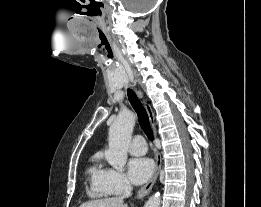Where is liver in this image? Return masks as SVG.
<instances>
[{
    "instance_id": "1",
    "label": "liver",
    "mask_w": 261,
    "mask_h": 207,
    "mask_svg": "<svg viewBox=\"0 0 261 207\" xmlns=\"http://www.w3.org/2000/svg\"><path fill=\"white\" fill-rule=\"evenodd\" d=\"M80 207H128L121 197H110L85 202Z\"/></svg>"
}]
</instances>
